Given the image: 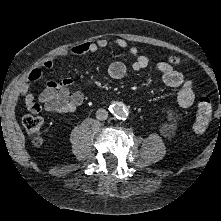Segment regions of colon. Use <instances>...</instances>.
Instances as JSON below:
<instances>
[{"label":"colon","instance_id":"5ec220e1","mask_svg":"<svg viewBox=\"0 0 221 221\" xmlns=\"http://www.w3.org/2000/svg\"><path fill=\"white\" fill-rule=\"evenodd\" d=\"M172 65H178L175 57L170 59ZM212 117V101L208 96H202L197 104V112L193 128L197 134H201L209 127ZM23 127L28 135L31 136L35 146L40 147L44 144L45 125L43 119L34 114H28L23 118Z\"/></svg>","mask_w":221,"mask_h":221}]
</instances>
